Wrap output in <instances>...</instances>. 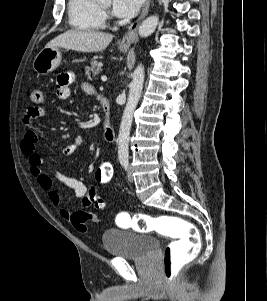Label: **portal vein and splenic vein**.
I'll return each mask as SVG.
<instances>
[{
	"label": "portal vein and splenic vein",
	"mask_w": 267,
	"mask_h": 301,
	"mask_svg": "<svg viewBox=\"0 0 267 301\" xmlns=\"http://www.w3.org/2000/svg\"><path fill=\"white\" fill-rule=\"evenodd\" d=\"M101 80H102L103 82L107 81V76H106V75H102V76H101Z\"/></svg>",
	"instance_id": "18ae733b"
}]
</instances>
